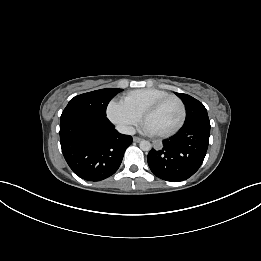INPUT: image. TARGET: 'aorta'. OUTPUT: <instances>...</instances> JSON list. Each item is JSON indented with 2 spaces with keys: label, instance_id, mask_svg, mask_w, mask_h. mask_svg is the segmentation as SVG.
<instances>
[{
  "label": "aorta",
  "instance_id": "obj_1",
  "mask_svg": "<svg viewBox=\"0 0 261 261\" xmlns=\"http://www.w3.org/2000/svg\"><path fill=\"white\" fill-rule=\"evenodd\" d=\"M139 146L143 151H149L151 149V143L146 140H142Z\"/></svg>",
  "mask_w": 261,
  "mask_h": 261
}]
</instances>
